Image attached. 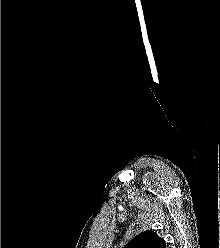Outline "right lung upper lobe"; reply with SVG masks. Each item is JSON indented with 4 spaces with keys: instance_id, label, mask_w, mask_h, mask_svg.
Segmentation results:
<instances>
[{
    "instance_id": "cb5924a9",
    "label": "right lung upper lobe",
    "mask_w": 220,
    "mask_h": 248,
    "mask_svg": "<svg viewBox=\"0 0 220 248\" xmlns=\"http://www.w3.org/2000/svg\"><path fill=\"white\" fill-rule=\"evenodd\" d=\"M123 248H166V244L154 231L147 230L135 236Z\"/></svg>"
}]
</instances>
